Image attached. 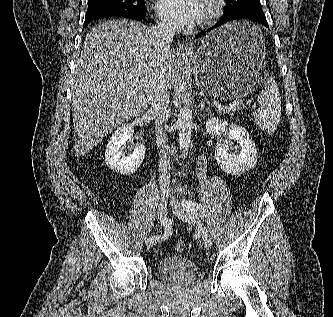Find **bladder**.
I'll list each match as a JSON object with an SVG mask.
<instances>
[{
  "mask_svg": "<svg viewBox=\"0 0 333 317\" xmlns=\"http://www.w3.org/2000/svg\"><path fill=\"white\" fill-rule=\"evenodd\" d=\"M158 270L162 274L186 273L196 269V264L184 256H166L158 261Z\"/></svg>",
  "mask_w": 333,
  "mask_h": 317,
  "instance_id": "31cf9c89",
  "label": "bladder"
}]
</instances>
